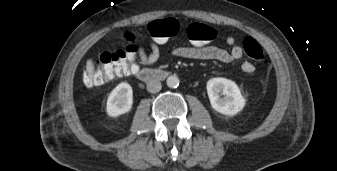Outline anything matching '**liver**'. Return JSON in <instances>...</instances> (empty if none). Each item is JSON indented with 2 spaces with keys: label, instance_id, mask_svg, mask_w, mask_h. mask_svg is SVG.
Listing matches in <instances>:
<instances>
[{
  "label": "liver",
  "instance_id": "obj_1",
  "mask_svg": "<svg viewBox=\"0 0 337 171\" xmlns=\"http://www.w3.org/2000/svg\"><path fill=\"white\" fill-rule=\"evenodd\" d=\"M86 70H87V73L89 75H92L94 73V64H93V61L91 59L87 60Z\"/></svg>",
  "mask_w": 337,
  "mask_h": 171
}]
</instances>
